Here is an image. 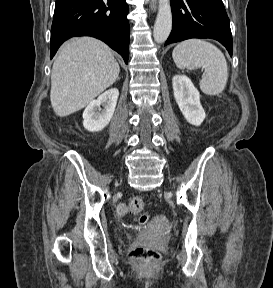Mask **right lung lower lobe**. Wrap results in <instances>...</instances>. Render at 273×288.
Here are the masks:
<instances>
[{"label":"right lung lower lobe","mask_w":273,"mask_h":288,"mask_svg":"<svg viewBox=\"0 0 273 288\" xmlns=\"http://www.w3.org/2000/svg\"><path fill=\"white\" fill-rule=\"evenodd\" d=\"M128 11L125 0H56L50 58L67 39L73 36H92L117 51L127 64Z\"/></svg>","instance_id":"1"}]
</instances>
